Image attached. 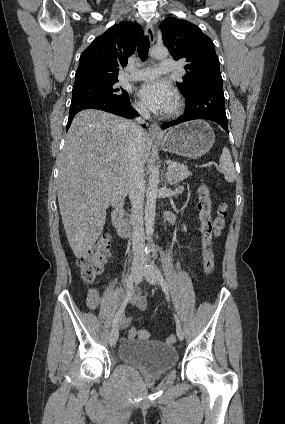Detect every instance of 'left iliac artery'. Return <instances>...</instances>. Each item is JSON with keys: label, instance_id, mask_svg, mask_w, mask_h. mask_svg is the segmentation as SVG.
Listing matches in <instances>:
<instances>
[{"label": "left iliac artery", "instance_id": "left-iliac-artery-1", "mask_svg": "<svg viewBox=\"0 0 285 424\" xmlns=\"http://www.w3.org/2000/svg\"><path fill=\"white\" fill-rule=\"evenodd\" d=\"M157 276H158L160 285L162 286V289L165 292V294L167 296V299L169 300L168 286H167V283L164 280V278H163V276H162V274H161V272L159 270H157ZM175 322H176L177 327H181V322H180L179 318L176 315H175Z\"/></svg>", "mask_w": 285, "mask_h": 424}]
</instances>
